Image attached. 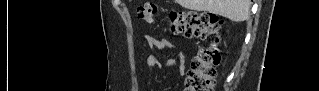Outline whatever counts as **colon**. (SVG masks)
<instances>
[{
  "mask_svg": "<svg viewBox=\"0 0 319 91\" xmlns=\"http://www.w3.org/2000/svg\"><path fill=\"white\" fill-rule=\"evenodd\" d=\"M140 20L149 25L159 23L158 6L148 2L137 10ZM167 23L176 35L199 36L206 46L198 50L185 79L187 91H213L220 54L217 48L221 23L215 14L208 12H169Z\"/></svg>",
  "mask_w": 319,
  "mask_h": 91,
  "instance_id": "1",
  "label": "colon"
}]
</instances>
